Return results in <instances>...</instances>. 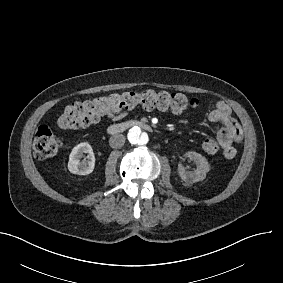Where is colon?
<instances>
[{"instance_id":"1","label":"colon","mask_w":283,"mask_h":283,"mask_svg":"<svg viewBox=\"0 0 283 283\" xmlns=\"http://www.w3.org/2000/svg\"><path fill=\"white\" fill-rule=\"evenodd\" d=\"M197 104L196 98L177 92L156 90L124 92L67 105L59 117L58 126L63 129H79L98 121L103 116L130 111L138 105L145 108H169L180 111L193 109ZM61 146V140L49 127H41L34 135L33 152L38 159H46L54 155ZM220 148L219 143L212 138H205L202 142V149L207 154H216Z\"/></svg>"}]
</instances>
